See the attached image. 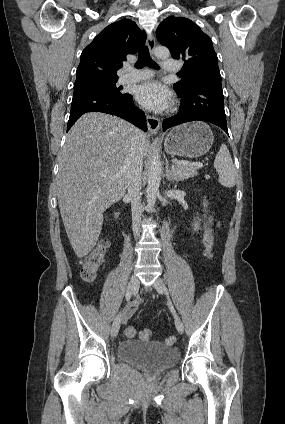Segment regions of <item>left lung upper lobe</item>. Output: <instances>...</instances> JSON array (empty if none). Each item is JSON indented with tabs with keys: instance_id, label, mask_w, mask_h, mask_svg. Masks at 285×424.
Here are the masks:
<instances>
[{
	"instance_id": "obj_1",
	"label": "left lung upper lobe",
	"mask_w": 285,
	"mask_h": 424,
	"mask_svg": "<svg viewBox=\"0 0 285 424\" xmlns=\"http://www.w3.org/2000/svg\"><path fill=\"white\" fill-rule=\"evenodd\" d=\"M156 35L160 43L169 48L174 59H183L184 66L174 84L177 92H185L202 81H221L218 58L212 41L193 21L184 17H168L163 20Z\"/></svg>"
}]
</instances>
